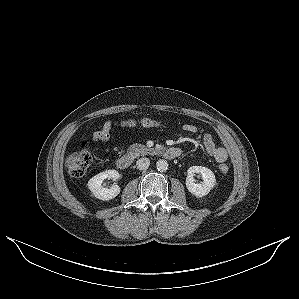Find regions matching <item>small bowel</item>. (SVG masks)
<instances>
[{
  "label": "small bowel",
  "instance_id": "c3829d8e",
  "mask_svg": "<svg viewBox=\"0 0 299 299\" xmlns=\"http://www.w3.org/2000/svg\"><path fill=\"white\" fill-rule=\"evenodd\" d=\"M112 128V122L106 121L102 128L95 131L92 135L93 141H107L110 138V132ZM183 130L188 133H195L197 131L196 126L192 124H185ZM203 146L206 152L212 156L217 162H225L228 158L227 150L215 144L213 137L210 134H205L203 137Z\"/></svg>",
  "mask_w": 299,
  "mask_h": 299
}]
</instances>
